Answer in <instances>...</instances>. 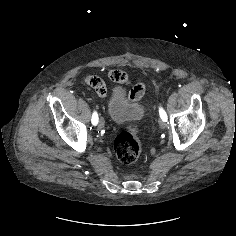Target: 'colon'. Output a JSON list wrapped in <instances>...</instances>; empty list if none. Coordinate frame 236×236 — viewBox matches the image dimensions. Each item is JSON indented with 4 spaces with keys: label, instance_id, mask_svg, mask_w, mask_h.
<instances>
[{
    "label": "colon",
    "instance_id": "colon-1",
    "mask_svg": "<svg viewBox=\"0 0 236 236\" xmlns=\"http://www.w3.org/2000/svg\"><path fill=\"white\" fill-rule=\"evenodd\" d=\"M131 98H136V89L131 91ZM141 150L142 144L138 128L134 125L120 132L114 140L115 154L122 163L131 164L135 162L140 156Z\"/></svg>",
    "mask_w": 236,
    "mask_h": 236
}]
</instances>
